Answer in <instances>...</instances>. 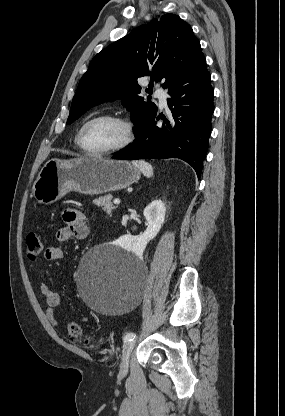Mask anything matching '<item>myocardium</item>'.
I'll return each mask as SVG.
<instances>
[{
    "instance_id": "obj_1",
    "label": "myocardium",
    "mask_w": 285,
    "mask_h": 416,
    "mask_svg": "<svg viewBox=\"0 0 285 416\" xmlns=\"http://www.w3.org/2000/svg\"><path fill=\"white\" fill-rule=\"evenodd\" d=\"M99 119H107L111 120L115 123H117L120 128L122 129L123 137L122 140L118 145H116L113 148L107 149V150H101V151H95L87 148L83 141V132L85 128L93 121L99 120ZM132 140V128L129 122H127L123 117L116 115V114H109V113H102L97 114L89 118L84 124L81 126L78 135H77V144L80 147V149L90 155L95 157H102V156H110L117 153H120L121 151L125 150Z\"/></svg>"
}]
</instances>
